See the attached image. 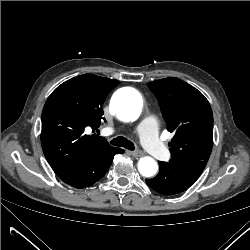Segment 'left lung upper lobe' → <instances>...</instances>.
<instances>
[{"instance_id": "left-lung-upper-lobe-1", "label": "left lung upper lobe", "mask_w": 250, "mask_h": 250, "mask_svg": "<svg viewBox=\"0 0 250 250\" xmlns=\"http://www.w3.org/2000/svg\"><path fill=\"white\" fill-rule=\"evenodd\" d=\"M159 100L167 130L169 163H207L213 146V114L209 102L196 88L175 77L148 84Z\"/></svg>"}]
</instances>
